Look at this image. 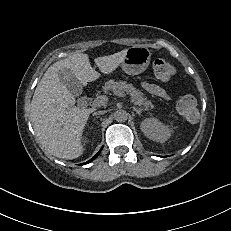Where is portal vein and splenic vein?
<instances>
[{
	"mask_svg": "<svg viewBox=\"0 0 231 231\" xmlns=\"http://www.w3.org/2000/svg\"><path fill=\"white\" fill-rule=\"evenodd\" d=\"M114 94L117 95V96H119V97H125L126 96L125 93L122 92V91H115ZM107 102H108V97L104 96V95L98 96L93 101L94 105H96V106H103Z\"/></svg>",
	"mask_w": 231,
	"mask_h": 231,
	"instance_id": "portal-vein-and-splenic-vein-1",
	"label": "portal vein and splenic vein"
}]
</instances>
